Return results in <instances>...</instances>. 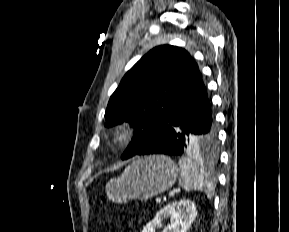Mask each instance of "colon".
Instances as JSON below:
<instances>
[{
	"label": "colon",
	"mask_w": 289,
	"mask_h": 232,
	"mask_svg": "<svg viewBox=\"0 0 289 232\" xmlns=\"http://www.w3.org/2000/svg\"><path fill=\"white\" fill-rule=\"evenodd\" d=\"M102 202L105 204V205H108L109 204V200L106 196H103L102 197Z\"/></svg>",
	"instance_id": "colon-1"
}]
</instances>
